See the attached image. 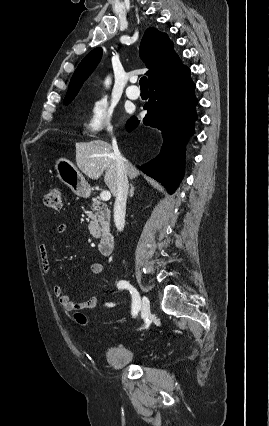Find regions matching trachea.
I'll list each match as a JSON object with an SVG mask.
<instances>
[{
	"label": "trachea",
	"mask_w": 269,
	"mask_h": 426,
	"mask_svg": "<svg viewBox=\"0 0 269 426\" xmlns=\"http://www.w3.org/2000/svg\"><path fill=\"white\" fill-rule=\"evenodd\" d=\"M140 87L141 88H148V81H147V77H142L139 81Z\"/></svg>",
	"instance_id": "obj_1"
}]
</instances>
